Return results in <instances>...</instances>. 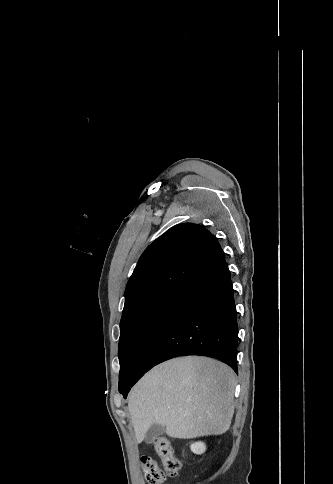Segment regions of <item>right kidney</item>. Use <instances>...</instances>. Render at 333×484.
I'll list each match as a JSON object with an SVG mask.
<instances>
[{"label": "right kidney", "mask_w": 333, "mask_h": 484, "mask_svg": "<svg viewBox=\"0 0 333 484\" xmlns=\"http://www.w3.org/2000/svg\"><path fill=\"white\" fill-rule=\"evenodd\" d=\"M206 450V445L203 442H195L191 444V451L195 454H202Z\"/></svg>", "instance_id": "ca27d5eb"}]
</instances>
